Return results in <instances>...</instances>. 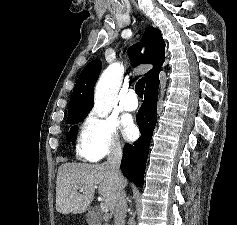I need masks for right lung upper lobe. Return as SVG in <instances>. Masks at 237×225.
Masks as SVG:
<instances>
[{
    "label": "right lung upper lobe",
    "mask_w": 237,
    "mask_h": 225,
    "mask_svg": "<svg viewBox=\"0 0 237 225\" xmlns=\"http://www.w3.org/2000/svg\"><path fill=\"white\" fill-rule=\"evenodd\" d=\"M141 44L145 46V53H140L141 45L129 48L128 55L133 65L142 63L153 64L146 76V87L159 83L160 66L165 60V42L157 28L148 27L145 31ZM101 61L94 60L87 64L78 77L75 88L70 98L68 113L72 111L90 112L93 99V87L101 71Z\"/></svg>",
    "instance_id": "cb5924a9"
}]
</instances>
